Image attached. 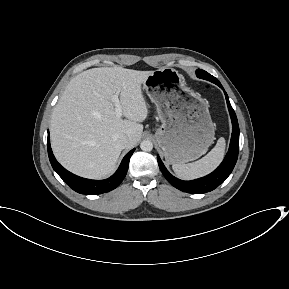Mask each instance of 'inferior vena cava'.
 <instances>
[{
  "label": "inferior vena cava",
  "mask_w": 289,
  "mask_h": 289,
  "mask_svg": "<svg viewBox=\"0 0 289 289\" xmlns=\"http://www.w3.org/2000/svg\"><path fill=\"white\" fill-rule=\"evenodd\" d=\"M117 143L119 145V147H121L122 149L126 148L127 144H128V138L123 136V137H120L118 140H117Z\"/></svg>",
  "instance_id": "1"
}]
</instances>
